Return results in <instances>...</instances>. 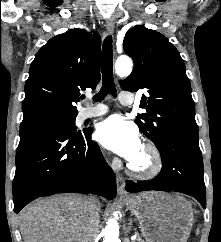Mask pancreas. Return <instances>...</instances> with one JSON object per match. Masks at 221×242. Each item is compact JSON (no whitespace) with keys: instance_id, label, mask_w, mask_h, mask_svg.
<instances>
[{"instance_id":"1","label":"pancreas","mask_w":221,"mask_h":242,"mask_svg":"<svg viewBox=\"0 0 221 242\" xmlns=\"http://www.w3.org/2000/svg\"><path fill=\"white\" fill-rule=\"evenodd\" d=\"M133 242H145L140 236H138Z\"/></svg>"}]
</instances>
